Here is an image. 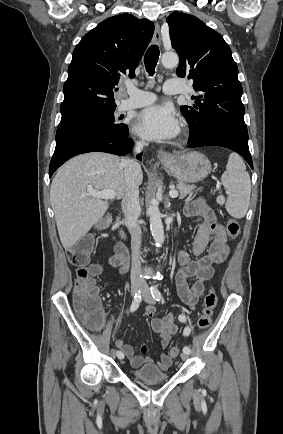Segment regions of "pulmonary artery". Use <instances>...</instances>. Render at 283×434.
Listing matches in <instances>:
<instances>
[{"mask_svg":"<svg viewBox=\"0 0 283 434\" xmlns=\"http://www.w3.org/2000/svg\"><path fill=\"white\" fill-rule=\"evenodd\" d=\"M163 90L168 95L186 94L190 91V89L180 81L173 79L165 82ZM124 91L126 97L121 100L119 105L121 111L150 105L156 99L153 93L137 89L132 84H126Z\"/></svg>","mask_w":283,"mask_h":434,"instance_id":"e3ab8cb5","label":"pulmonary artery"}]
</instances>
